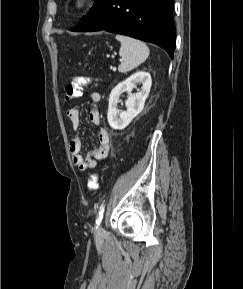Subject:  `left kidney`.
Masks as SVG:
<instances>
[{"instance_id":"1","label":"left kidney","mask_w":243,"mask_h":289,"mask_svg":"<svg viewBox=\"0 0 243 289\" xmlns=\"http://www.w3.org/2000/svg\"><path fill=\"white\" fill-rule=\"evenodd\" d=\"M137 83H142L141 90L138 93L132 94L131 91L136 87ZM151 85L152 80L150 74L139 71L114 87L109 97L107 113L108 123L111 128L122 130L131 123V121L143 110ZM123 92L129 93L128 99L125 101L127 110L118 113L117 105L121 102L120 96Z\"/></svg>"}]
</instances>
